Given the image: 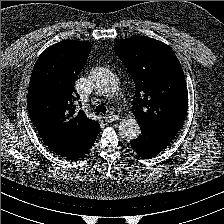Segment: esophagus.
Wrapping results in <instances>:
<instances>
[{
    "label": "esophagus",
    "mask_w": 224,
    "mask_h": 224,
    "mask_svg": "<svg viewBox=\"0 0 224 224\" xmlns=\"http://www.w3.org/2000/svg\"><path fill=\"white\" fill-rule=\"evenodd\" d=\"M104 118L106 122L110 123V122L116 121L118 119V116L115 114H110L105 116Z\"/></svg>",
    "instance_id": "34e87169"
}]
</instances>
